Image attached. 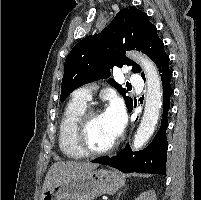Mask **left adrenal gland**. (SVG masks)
<instances>
[{"instance_id": "a2214340", "label": "left adrenal gland", "mask_w": 201, "mask_h": 200, "mask_svg": "<svg viewBox=\"0 0 201 200\" xmlns=\"http://www.w3.org/2000/svg\"><path fill=\"white\" fill-rule=\"evenodd\" d=\"M127 189H128V187H124L123 190L118 193V195H117V197H116V200H119V198H120V196L122 195V193H123L124 191H126Z\"/></svg>"}]
</instances>
